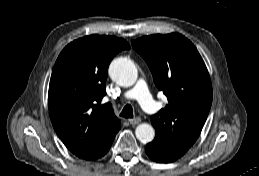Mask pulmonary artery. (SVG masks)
Returning a JSON list of instances; mask_svg holds the SVG:
<instances>
[{
    "instance_id": "obj_1",
    "label": "pulmonary artery",
    "mask_w": 259,
    "mask_h": 176,
    "mask_svg": "<svg viewBox=\"0 0 259 176\" xmlns=\"http://www.w3.org/2000/svg\"><path fill=\"white\" fill-rule=\"evenodd\" d=\"M124 97L127 99H137L147 113L152 114L157 109L156 103L150 96L146 82L143 79H139L132 89L126 91Z\"/></svg>"
}]
</instances>
